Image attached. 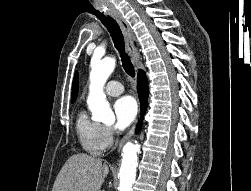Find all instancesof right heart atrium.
Returning a JSON list of instances; mask_svg holds the SVG:
<instances>
[{
  "label": "right heart atrium",
  "mask_w": 251,
  "mask_h": 191,
  "mask_svg": "<svg viewBox=\"0 0 251 191\" xmlns=\"http://www.w3.org/2000/svg\"><path fill=\"white\" fill-rule=\"evenodd\" d=\"M115 140V133L111 126L101 125L100 127V141L101 145L104 148H108L113 145Z\"/></svg>",
  "instance_id": "right-heart-atrium-1"
}]
</instances>
